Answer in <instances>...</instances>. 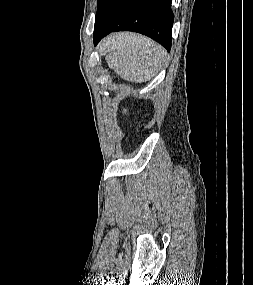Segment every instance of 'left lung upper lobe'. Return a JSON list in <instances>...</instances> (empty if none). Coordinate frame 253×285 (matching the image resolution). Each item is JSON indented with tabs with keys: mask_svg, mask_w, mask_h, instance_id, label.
I'll use <instances>...</instances> for the list:
<instances>
[{
	"mask_svg": "<svg viewBox=\"0 0 253 285\" xmlns=\"http://www.w3.org/2000/svg\"><path fill=\"white\" fill-rule=\"evenodd\" d=\"M106 1H107V0H97L98 9H97V13H96L95 19L97 18L98 14H99L100 11L102 10V8H103V6H104V4H105Z\"/></svg>",
	"mask_w": 253,
	"mask_h": 285,
	"instance_id": "obj_1",
	"label": "left lung upper lobe"
}]
</instances>
